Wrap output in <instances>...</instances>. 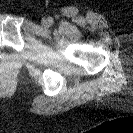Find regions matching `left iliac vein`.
I'll list each match as a JSON object with an SVG mask.
<instances>
[{"mask_svg":"<svg viewBox=\"0 0 133 133\" xmlns=\"http://www.w3.org/2000/svg\"><path fill=\"white\" fill-rule=\"evenodd\" d=\"M42 25L45 27L49 26L50 25L49 19H46V18L42 19Z\"/></svg>","mask_w":133,"mask_h":133,"instance_id":"4c4485c4","label":"left iliac vein"}]
</instances>
